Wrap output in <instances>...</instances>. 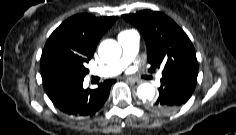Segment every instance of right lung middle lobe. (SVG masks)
<instances>
[{"instance_id": "1", "label": "right lung middle lobe", "mask_w": 236, "mask_h": 135, "mask_svg": "<svg viewBox=\"0 0 236 135\" xmlns=\"http://www.w3.org/2000/svg\"><path fill=\"white\" fill-rule=\"evenodd\" d=\"M92 58L73 52L63 46H51L43 50L41 57V71H58L78 75H86L89 70L85 64Z\"/></svg>"}]
</instances>
